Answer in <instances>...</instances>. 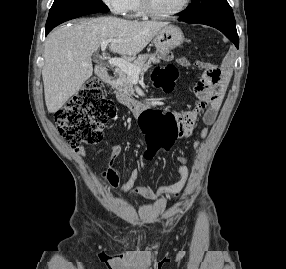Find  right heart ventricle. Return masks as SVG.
I'll return each mask as SVG.
<instances>
[{
  "label": "right heart ventricle",
  "mask_w": 286,
  "mask_h": 269,
  "mask_svg": "<svg viewBox=\"0 0 286 269\" xmlns=\"http://www.w3.org/2000/svg\"><path fill=\"white\" fill-rule=\"evenodd\" d=\"M125 13L130 17H139L143 13L140 8L139 0H127Z\"/></svg>",
  "instance_id": "right-heart-ventricle-1"
}]
</instances>
